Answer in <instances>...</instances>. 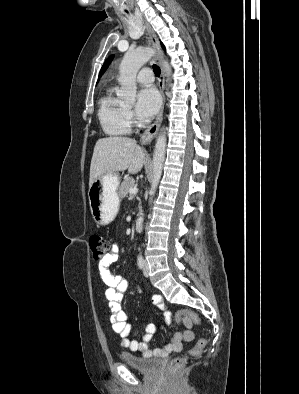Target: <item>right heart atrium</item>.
I'll use <instances>...</instances> for the list:
<instances>
[{
  "label": "right heart atrium",
  "mask_w": 299,
  "mask_h": 394,
  "mask_svg": "<svg viewBox=\"0 0 299 394\" xmlns=\"http://www.w3.org/2000/svg\"><path fill=\"white\" fill-rule=\"evenodd\" d=\"M126 117H127L129 124H132L134 122V114L130 109L126 110Z\"/></svg>",
  "instance_id": "1"
}]
</instances>
